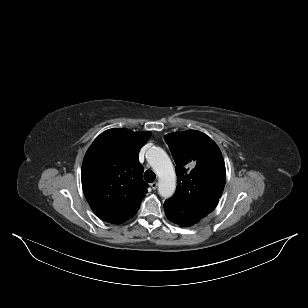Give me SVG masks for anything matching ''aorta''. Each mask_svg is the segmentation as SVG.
<instances>
[{
  "mask_svg": "<svg viewBox=\"0 0 308 308\" xmlns=\"http://www.w3.org/2000/svg\"><path fill=\"white\" fill-rule=\"evenodd\" d=\"M147 160L159 177L158 192L164 198L171 197L176 188V175L167 153L160 147L147 151Z\"/></svg>",
  "mask_w": 308,
  "mask_h": 308,
  "instance_id": "aorta-1",
  "label": "aorta"
}]
</instances>
